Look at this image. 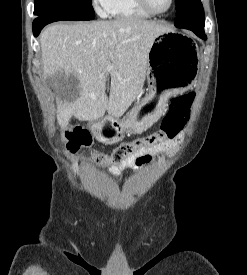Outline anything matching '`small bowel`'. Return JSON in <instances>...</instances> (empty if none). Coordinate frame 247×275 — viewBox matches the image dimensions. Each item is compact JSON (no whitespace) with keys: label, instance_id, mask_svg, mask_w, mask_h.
I'll return each mask as SVG.
<instances>
[{"label":"small bowel","instance_id":"obj_1","mask_svg":"<svg viewBox=\"0 0 247 275\" xmlns=\"http://www.w3.org/2000/svg\"><path fill=\"white\" fill-rule=\"evenodd\" d=\"M178 140H179V137L174 140H169L164 143L158 144L152 148L142 149L135 156L129 158L128 160H125L124 162L116 165H112L109 168V171L112 175L119 176L120 173L128 167L134 166L136 168H139L144 164L150 162L152 158V154H156L164 151H167V152L172 151L176 147Z\"/></svg>","mask_w":247,"mask_h":275}]
</instances>
